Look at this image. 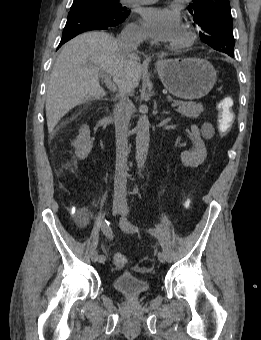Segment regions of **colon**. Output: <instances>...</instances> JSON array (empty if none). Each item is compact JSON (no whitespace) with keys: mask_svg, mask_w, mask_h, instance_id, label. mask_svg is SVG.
I'll return each mask as SVG.
<instances>
[{"mask_svg":"<svg viewBox=\"0 0 261 340\" xmlns=\"http://www.w3.org/2000/svg\"><path fill=\"white\" fill-rule=\"evenodd\" d=\"M234 100L231 97H224L217 103L218 110V128L223 134L227 133L234 121ZM127 263V258L121 253H115L113 255V264L116 268H123Z\"/></svg>","mask_w":261,"mask_h":340,"instance_id":"1","label":"colon"}]
</instances>
